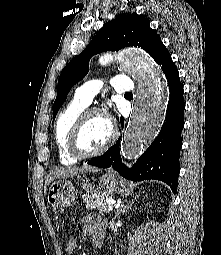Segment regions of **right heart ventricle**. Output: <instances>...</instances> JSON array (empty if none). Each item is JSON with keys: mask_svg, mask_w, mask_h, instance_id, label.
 <instances>
[{"mask_svg": "<svg viewBox=\"0 0 221 255\" xmlns=\"http://www.w3.org/2000/svg\"><path fill=\"white\" fill-rule=\"evenodd\" d=\"M84 109L85 106L72 102L59 114L55 122L53 131L54 143L59 161L65 166L74 165L78 161L68 150V140L74 124L81 116Z\"/></svg>", "mask_w": 221, "mask_h": 255, "instance_id": "1", "label": "right heart ventricle"}]
</instances>
